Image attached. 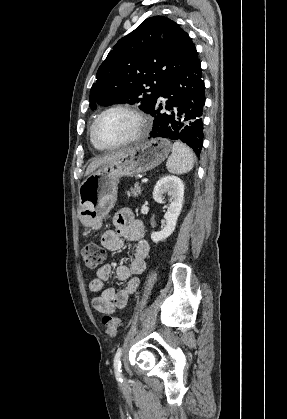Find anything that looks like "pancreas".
<instances>
[{"label":"pancreas","instance_id":"1","mask_svg":"<svg viewBox=\"0 0 287 419\" xmlns=\"http://www.w3.org/2000/svg\"><path fill=\"white\" fill-rule=\"evenodd\" d=\"M142 192V188L139 183H135L134 187L130 188V191L127 192L128 196L136 197L138 194L140 195Z\"/></svg>","mask_w":287,"mask_h":419}]
</instances>
